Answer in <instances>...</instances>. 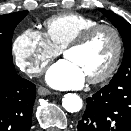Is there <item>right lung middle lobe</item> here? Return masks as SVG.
<instances>
[{
  "label": "right lung middle lobe",
  "mask_w": 131,
  "mask_h": 131,
  "mask_svg": "<svg viewBox=\"0 0 131 131\" xmlns=\"http://www.w3.org/2000/svg\"><path fill=\"white\" fill-rule=\"evenodd\" d=\"M28 14V11L0 15V59L11 60V41L17 24Z\"/></svg>",
  "instance_id": "right-lung-middle-lobe-1"
}]
</instances>
